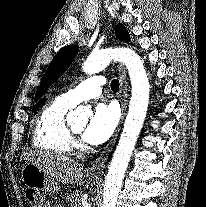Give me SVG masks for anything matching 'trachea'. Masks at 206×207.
<instances>
[{
    "instance_id": "trachea-1",
    "label": "trachea",
    "mask_w": 206,
    "mask_h": 207,
    "mask_svg": "<svg viewBox=\"0 0 206 207\" xmlns=\"http://www.w3.org/2000/svg\"><path fill=\"white\" fill-rule=\"evenodd\" d=\"M111 89L114 92L119 90V81L117 79L112 80V82H111Z\"/></svg>"
}]
</instances>
